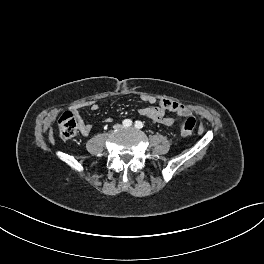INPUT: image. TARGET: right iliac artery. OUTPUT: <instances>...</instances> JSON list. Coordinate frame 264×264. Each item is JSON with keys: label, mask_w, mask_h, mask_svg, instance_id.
I'll return each mask as SVG.
<instances>
[{"label": "right iliac artery", "mask_w": 264, "mask_h": 264, "mask_svg": "<svg viewBox=\"0 0 264 264\" xmlns=\"http://www.w3.org/2000/svg\"><path fill=\"white\" fill-rule=\"evenodd\" d=\"M122 124L124 127H130L132 125V121L130 119H125Z\"/></svg>", "instance_id": "right-iliac-artery-1"}]
</instances>
